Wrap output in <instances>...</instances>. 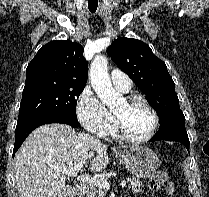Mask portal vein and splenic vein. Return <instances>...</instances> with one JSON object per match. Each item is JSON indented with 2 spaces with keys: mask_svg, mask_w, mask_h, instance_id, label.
Segmentation results:
<instances>
[{
  "mask_svg": "<svg viewBox=\"0 0 209 197\" xmlns=\"http://www.w3.org/2000/svg\"><path fill=\"white\" fill-rule=\"evenodd\" d=\"M83 164L84 162H80L79 164H77L76 166H73L69 169H57L62 171L63 173H65L67 176L69 177H75L77 178V180H80L82 182H87L89 184H94L100 188L103 189H109V182L104 179V178H92L83 174H79V172L82 170L83 168ZM120 185L122 187L126 186V181H121Z\"/></svg>",
  "mask_w": 209,
  "mask_h": 197,
  "instance_id": "obj_1",
  "label": "portal vein and splenic vein"
}]
</instances>
